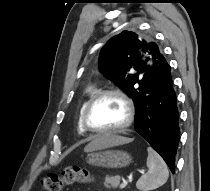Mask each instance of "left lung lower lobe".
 I'll use <instances>...</instances> for the list:
<instances>
[{"instance_id": "1", "label": "left lung lower lobe", "mask_w": 210, "mask_h": 191, "mask_svg": "<svg viewBox=\"0 0 210 191\" xmlns=\"http://www.w3.org/2000/svg\"><path fill=\"white\" fill-rule=\"evenodd\" d=\"M170 71L167 61L159 66L151 79V87L140 96L136 106L135 129L174 173L180 129Z\"/></svg>"}]
</instances>
